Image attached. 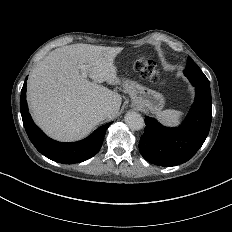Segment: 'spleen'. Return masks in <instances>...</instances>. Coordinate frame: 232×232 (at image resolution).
Listing matches in <instances>:
<instances>
[{
    "label": "spleen",
    "instance_id": "3e777b00",
    "mask_svg": "<svg viewBox=\"0 0 232 232\" xmlns=\"http://www.w3.org/2000/svg\"><path fill=\"white\" fill-rule=\"evenodd\" d=\"M179 112L173 109H165L159 112L158 116L166 124H176L178 122Z\"/></svg>",
    "mask_w": 232,
    "mask_h": 232
}]
</instances>
